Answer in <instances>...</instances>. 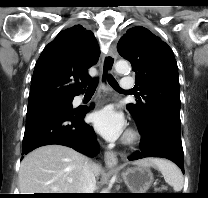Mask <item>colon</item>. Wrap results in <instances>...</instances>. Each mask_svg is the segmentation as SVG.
I'll return each instance as SVG.
<instances>
[{
  "mask_svg": "<svg viewBox=\"0 0 208 198\" xmlns=\"http://www.w3.org/2000/svg\"><path fill=\"white\" fill-rule=\"evenodd\" d=\"M158 190L163 191V190H167V188L165 186L158 188Z\"/></svg>",
  "mask_w": 208,
  "mask_h": 198,
  "instance_id": "colon-1",
  "label": "colon"
}]
</instances>
